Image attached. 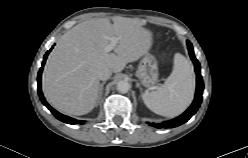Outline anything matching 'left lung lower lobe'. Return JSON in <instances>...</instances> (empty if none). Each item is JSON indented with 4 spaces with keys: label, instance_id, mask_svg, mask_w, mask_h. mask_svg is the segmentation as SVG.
<instances>
[{
    "label": "left lung lower lobe",
    "instance_id": "1",
    "mask_svg": "<svg viewBox=\"0 0 248 158\" xmlns=\"http://www.w3.org/2000/svg\"><path fill=\"white\" fill-rule=\"evenodd\" d=\"M187 45H188L189 54H190V57L194 63V67H195V71H196V75H197L195 99H194L192 105L179 117H177L173 120L167 121V122H163V123H150L149 124L150 126H153L156 128L177 127V126L187 122L195 114V112L198 110V108L201 104L202 93H203V80H202V77L200 74V64L194 56L192 44L189 41H187Z\"/></svg>",
    "mask_w": 248,
    "mask_h": 158
}]
</instances>
